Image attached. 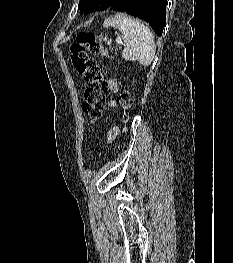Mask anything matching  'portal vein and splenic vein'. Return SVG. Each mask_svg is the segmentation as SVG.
Segmentation results:
<instances>
[{"instance_id":"portal-vein-and-splenic-vein-1","label":"portal vein and splenic vein","mask_w":233,"mask_h":263,"mask_svg":"<svg viewBox=\"0 0 233 263\" xmlns=\"http://www.w3.org/2000/svg\"><path fill=\"white\" fill-rule=\"evenodd\" d=\"M117 42H121V40L118 38V39H117Z\"/></svg>"}]
</instances>
